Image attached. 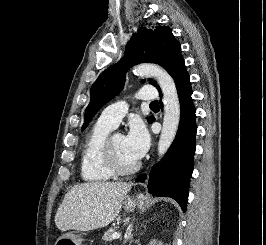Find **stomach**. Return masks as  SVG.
<instances>
[{
	"mask_svg": "<svg viewBox=\"0 0 266 245\" xmlns=\"http://www.w3.org/2000/svg\"><path fill=\"white\" fill-rule=\"evenodd\" d=\"M145 195L143 193H140V195H137V199H131V197H125L123 199V209L124 211H127V213H132L134 209H142V211H145ZM84 239L82 237H79V235H70V233H63V237H60V242H71L73 245H82Z\"/></svg>",
	"mask_w": 266,
	"mask_h": 245,
	"instance_id": "obj_1",
	"label": "stomach"
}]
</instances>
